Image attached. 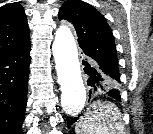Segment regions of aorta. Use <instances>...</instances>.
I'll use <instances>...</instances> for the list:
<instances>
[{
  "label": "aorta",
  "mask_w": 153,
  "mask_h": 134,
  "mask_svg": "<svg viewBox=\"0 0 153 134\" xmlns=\"http://www.w3.org/2000/svg\"><path fill=\"white\" fill-rule=\"evenodd\" d=\"M58 83L61 88V105L66 114H79L86 103V88L82 79L77 46L71 30L60 26L52 45Z\"/></svg>",
  "instance_id": "762f6f07"
}]
</instances>
